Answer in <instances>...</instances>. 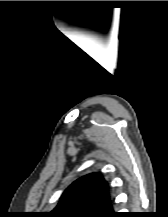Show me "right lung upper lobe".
I'll use <instances>...</instances> for the list:
<instances>
[{
    "instance_id": "1",
    "label": "right lung upper lobe",
    "mask_w": 168,
    "mask_h": 217,
    "mask_svg": "<svg viewBox=\"0 0 168 217\" xmlns=\"http://www.w3.org/2000/svg\"><path fill=\"white\" fill-rule=\"evenodd\" d=\"M115 212L108 184L100 173H91L73 182L48 217H109Z\"/></svg>"
}]
</instances>
